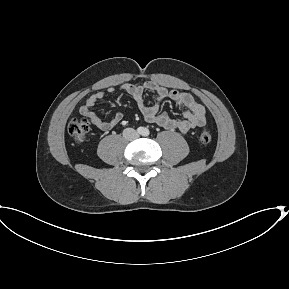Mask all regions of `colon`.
<instances>
[{
  "mask_svg": "<svg viewBox=\"0 0 289 289\" xmlns=\"http://www.w3.org/2000/svg\"><path fill=\"white\" fill-rule=\"evenodd\" d=\"M89 130L90 123L87 118H73L68 123V132L77 143L85 142ZM199 140L204 144L211 142V132L208 129L203 128L199 133Z\"/></svg>",
  "mask_w": 289,
  "mask_h": 289,
  "instance_id": "obj_1",
  "label": "colon"
}]
</instances>
